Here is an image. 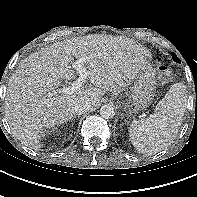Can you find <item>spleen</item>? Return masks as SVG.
Here are the masks:
<instances>
[{
	"label": "spleen",
	"instance_id": "1",
	"mask_svg": "<svg viewBox=\"0 0 197 197\" xmlns=\"http://www.w3.org/2000/svg\"><path fill=\"white\" fill-rule=\"evenodd\" d=\"M187 102L183 83H175L147 118L134 120L129 128L133 146L143 154H155L167 147L181 126Z\"/></svg>",
	"mask_w": 197,
	"mask_h": 197
}]
</instances>
